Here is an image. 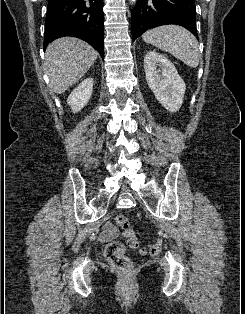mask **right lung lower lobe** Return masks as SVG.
Here are the masks:
<instances>
[{"label":"right lung lower lobe","instance_id":"1","mask_svg":"<svg viewBox=\"0 0 245 314\" xmlns=\"http://www.w3.org/2000/svg\"><path fill=\"white\" fill-rule=\"evenodd\" d=\"M64 36L88 42L104 58L103 0H49L43 48Z\"/></svg>","mask_w":245,"mask_h":314}]
</instances>
